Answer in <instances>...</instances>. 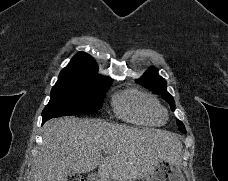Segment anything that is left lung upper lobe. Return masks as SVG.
<instances>
[{
    "label": "left lung upper lobe",
    "mask_w": 228,
    "mask_h": 181,
    "mask_svg": "<svg viewBox=\"0 0 228 181\" xmlns=\"http://www.w3.org/2000/svg\"><path fill=\"white\" fill-rule=\"evenodd\" d=\"M136 82L156 94H162V97L170 104L171 109L174 110L175 102L173 97L166 91V81L158 75L155 69L150 68L147 70L141 78L136 80ZM177 124L179 130L185 134L186 129L184 124L179 120H177Z\"/></svg>",
    "instance_id": "5c2ea615"
}]
</instances>
